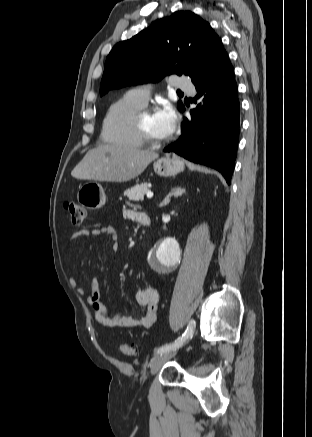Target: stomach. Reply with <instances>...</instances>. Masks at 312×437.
Listing matches in <instances>:
<instances>
[{
	"mask_svg": "<svg viewBox=\"0 0 312 437\" xmlns=\"http://www.w3.org/2000/svg\"><path fill=\"white\" fill-rule=\"evenodd\" d=\"M153 169L162 177L175 176L184 170V162L176 155H165L153 163ZM77 199L85 208L97 210L104 206L106 194L98 182L89 181L79 188Z\"/></svg>",
	"mask_w": 312,
	"mask_h": 437,
	"instance_id": "obj_1",
	"label": "stomach"
}]
</instances>
